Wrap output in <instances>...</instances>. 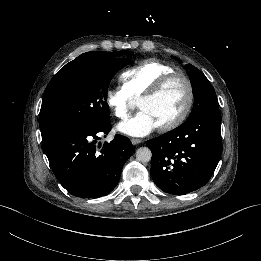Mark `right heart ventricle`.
<instances>
[{"label": "right heart ventricle", "mask_w": 261, "mask_h": 261, "mask_svg": "<svg viewBox=\"0 0 261 261\" xmlns=\"http://www.w3.org/2000/svg\"><path fill=\"white\" fill-rule=\"evenodd\" d=\"M174 68L159 59H145L121 74L122 89L134 101L148 93L153 85Z\"/></svg>", "instance_id": "1"}]
</instances>
